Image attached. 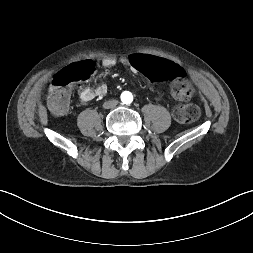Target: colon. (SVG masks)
I'll list each match as a JSON object with an SVG mask.
<instances>
[{
	"label": "colon",
	"instance_id": "obj_1",
	"mask_svg": "<svg viewBox=\"0 0 253 253\" xmlns=\"http://www.w3.org/2000/svg\"><path fill=\"white\" fill-rule=\"evenodd\" d=\"M132 66L151 80L174 83L172 95L180 101H187L193 94L191 85L184 81L185 73L181 64L160 57H150L139 52L131 56ZM94 72L91 61H83L69 66L58 73L51 82L49 104L57 113H64L69 106V88L88 79ZM174 118L180 123H191L200 116V109L195 104H182L173 111Z\"/></svg>",
	"mask_w": 253,
	"mask_h": 253
}]
</instances>
